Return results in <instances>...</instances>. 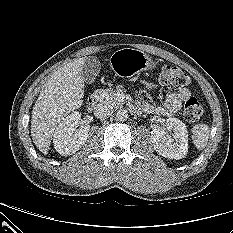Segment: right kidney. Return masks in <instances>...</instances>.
Returning <instances> with one entry per match:
<instances>
[{
  "label": "right kidney",
  "instance_id": "ca27d5eb",
  "mask_svg": "<svg viewBox=\"0 0 233 233\" xmlns=\"http://www.w3.org/2000/svg\"><path fill=\"white\" fill-rule=\"evenodd\" d=\"M80 118L81 114L75 111L64 118L57 126L53 136V144L60 155L74 154L85 144L89 127L82 126L76 129Z\"/></svg>",
  "mask_w": 233,
  "mask_h": 233
}]
</instances>
